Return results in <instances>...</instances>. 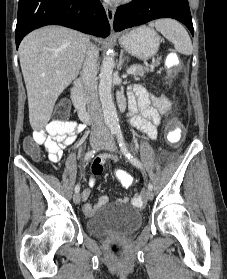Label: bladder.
Masks as SVG:
<instances>
[{"label": "bladder", "instance_id": "obj_1", "mask_svg": "<svg viewBox=\"0 0 227 279\" xmlns=\"http://www.w3.org/2000/svg\"><path fill=\"white\" fill-rule=\"evenodd\" d=\"M143 218L137 208L128 203L110 202L105 210L86 220V230L94 237L128 235L142 225Z\"/></svg>", "mask_w": 227, "mask_h": 279}]
</instances>
